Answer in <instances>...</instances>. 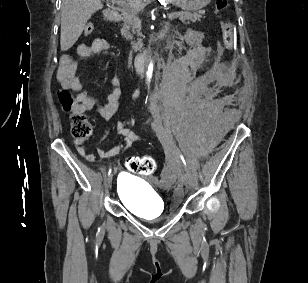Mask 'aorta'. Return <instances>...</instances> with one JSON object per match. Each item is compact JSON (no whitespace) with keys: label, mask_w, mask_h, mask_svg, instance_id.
<instances>
[{"label":"aorta","mask_w":308,"mask_h":283,"mask_svg":"<svg viewBox=\"0 0 308 283\" xmlns=\"http://www.w3.org/2000/svg\"><path fill=\"white\" fill-rule=\"evenodd\" d=\"M152 72H153V64L150 63V65H149V67H148V71H147V77H148V78H151Z\"/></svg>","instance_id":"762f6f07"}]
</instances>
